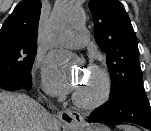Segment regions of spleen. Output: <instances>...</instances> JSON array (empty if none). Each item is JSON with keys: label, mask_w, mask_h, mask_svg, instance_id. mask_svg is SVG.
I'll list each match as a JSON object with an SVG mask.
<instances>
[{"label": "spleen", "mask_w": 151, "mask_h": 131, "mask_svg": "<svg viewBox=\"0 0 151 131\" xmlns=\"http://www.w3.org/2000/svg\"><path fill=\"white\" fill-rule=\"evenodd\" d=\"M119 128L123 131H138V129H136L135 127L128 125H121L119 126Z\"/></svg>", "instance_id": "3e777b00"}]
</instances>
